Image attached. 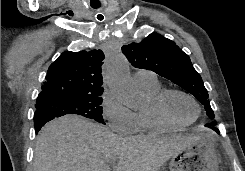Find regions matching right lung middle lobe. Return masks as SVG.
Here are the masks:
<instances>
[{
    "label": "right lung middle lobe",
    "mask_w": 245,
    "mask_h": 171,
    "mask_svg": "<svg viewBox=\"0 0 245 171\" xmlns=\"http://www.w3.org/2000/svg\"><path fill=\"white\" fill-rule=\"evenodd\" d=\"M101 104L102 97L99 94L96 96L51 97L43 100L35 107L37 110H44L54 117L78 114L105 124Z\"/></svg>",
    "instance_id": "dd1d6c3e"
}]
</instances>
